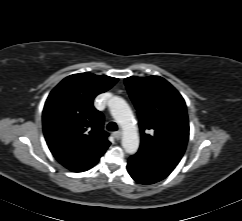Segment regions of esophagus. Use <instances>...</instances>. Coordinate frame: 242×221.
Returning <instances> with one entry per match:
<instances>
[{
	"mask_svg": "<svg viewBox=\"0 0 242 221\" xmlns=\"http://www.w3.org/2000/svg\"><path fill=\"white\" fill-rule=\"evenodd\" d=\"M113 136H114L117 140H119V139L121 138V136H122V132H121V131L114 132V133H113Z\"/></svg>",
	"mask_w": 242,
	"mask_h": 221,
	"instance_id": "34e87169",
	"label": "esophagus"
}]
</instances>
